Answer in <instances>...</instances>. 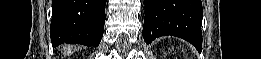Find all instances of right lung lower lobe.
<instances>
[{"mask_svg":"<svg viewBox=\"0 0 261 59\" xmlns=\"http://www.w3.org/2000/svg\"><path fill=\"white\" fill-rule=\"evenodd\" d=\"M106 0H53V47L63 43L97 47L104 31Z\"/></svg>","mask_w":261,"mask_h":59,"instance_id":"obj_1","label":"right lung lower lobe"}]
</instances>
